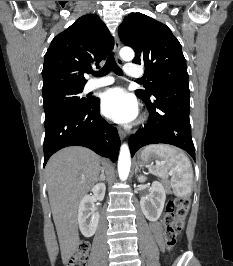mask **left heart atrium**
Segmentation results:
<instances>
[{"mask_svg":"<svg viewBox=\"0 0 233 266\" xmlns=\"http://www.w3.org/2000/svg\"><path fill=\"white\" fill-rule=\"evenodd\" d=\"M103 114L117 123H129L138 115V104L123 88L105 91L101 98Z\"/></svg>","mask_w":233,"mask_h":266,"instance_id":"39dd6f15","label":"left heart atrium"}]
</instances>
